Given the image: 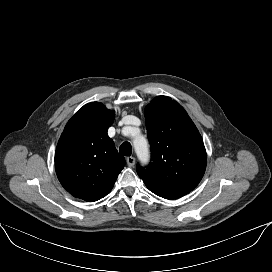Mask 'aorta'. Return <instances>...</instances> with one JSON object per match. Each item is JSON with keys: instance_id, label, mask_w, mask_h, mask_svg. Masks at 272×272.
<instances>
[{"instance_id": "762f6f07", "label": "aorta", "mask_w": 272, "mask_h": 272, "mask_svg": "<svg viewBox=\"0 0 272 272\" xmlns=\"http://www.w3.org/2000/svg\"><path fill=\"white\" fill-rule=\"evenodd\" d=\"M133 145L139 160L146 163L149 159L148 142L145 137L138 135L133 140Z\"/></svg>"}]
</instances>
